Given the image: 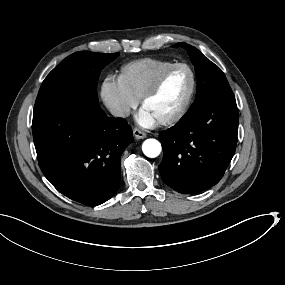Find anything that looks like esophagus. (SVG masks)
I'll list each match as a JSON object with an SVG mask.
<instances>
[{
  "instance_id": "esophagus-1",
  "label": "esophagus",
  "mask_w": 285,
  "mask_h": 285,
  "mask_svg": "<svg viewBox=\"0 0 285 285\" xmlns=\"http://www.w3.org/2000/svg\"><path fill=\"white\" fill-rule=\"evenodd\" d=\"M133 134L137 139H144L146 137V133L142 132L141 130L135 128L133 130Z\"/></svg>"
}]
</instances>
